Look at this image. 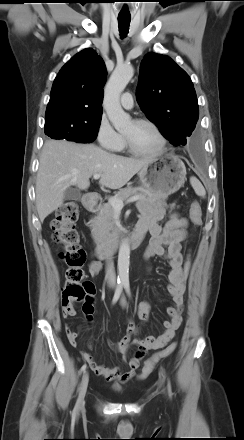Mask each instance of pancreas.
<instances>
[{
	"label": "pancreas",
	"mask_w": 244,
	"mask_h": 440,
	"mask_svg": "<svg viewBox=\"0 0 244 440\" xmlns=\"http://www.w3.org/2000/svg\"><path fill=\"white\" fill-rule=\"evenodd\" d=\"M132 196H140L142 198L139 200L140 202L147 203L156 209L161 208L162 205L166 208L168 207L163 203L166 197L148 193L143 188L127 187L121 189L115 194L114 198L124 201ZM170 208L173 209L174 205H170ZM90 228L92 237L98 244H103L117 238L119 231L115 224V209L110 202L105 203L97 215L90 220Z\"/></svg>",
	"instance_id": "obj_1"
}]
</instances>
